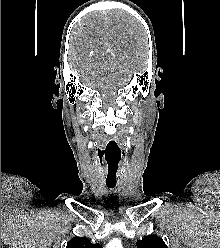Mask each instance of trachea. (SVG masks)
<instances>
[{
    "mask_svg": "<svg viewBox=\"0 0 220 248\" xmlns=\"http://www.w3.org/2000/svg\"><path fill=\"white\" fill-rule=\"evenodd\" d=\"M116 186V184H107L108 188H114Z\"/></svg>",
    "mask_w": 220,
    "mask_h": 248,
    "instance_id": "3493384b",
    "label": "trachea"
}]
</instances>
